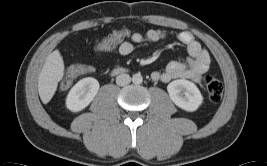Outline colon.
Segmentation results:
<instances>
[{"mask_svg": "<svg viewBox=\"0 0 267 166\" xmlns=\"http://www.w3.org/2000/svg\"><path fill=\"white\" fill-rule=\"evenodd\" d=\"M129 33L127 29L120 27L115 30L112 36L105 39L97 40L95 43V48L99 51H108L113 49L118 43H122L127 40ZM80 70L85 71L86 66H79ZM76 76L74 71H70L64 77L60 84V89L62 91H67L71 85L73 78ZM204 84L208 94L210 102L216 103L223 96V85L222 83L213 75L208 74L204 77Z\"/></svg>", "mask_w": 267, "mask_h": 166, "instance_id": "1", "label": "colon"}]
</instances>
